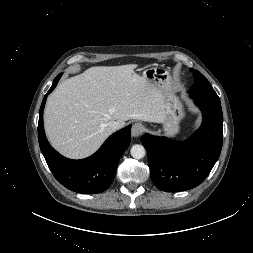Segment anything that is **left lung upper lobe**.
Returning <instances> with one entry per match:
<instances>
[{"label": "left lung upper lobe", "instance_id": "5c2ea615", "mask_svg": "<svg viewBox=\"0 0 253 253\" xmlns=\"http://www.w3.org/2000/svg\"><path fill=\"white\" fill-rule=\"evenodd\" d=\"M194 75L195 83L189 90V95L195 99H206L219 101V97L208 82V80L197 70L190 69Z\"/></svg>", "mask_w": 253, "mask_h": 253}]
</instances>
